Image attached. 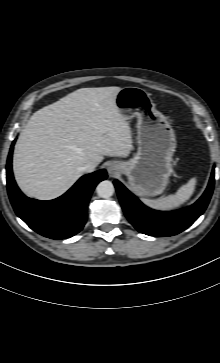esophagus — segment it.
Here are the masks:
<instances>
[{"label":"esophagus","instance_id":"esophagus-1","mask_svg":"<svg viewBox=\"0 0 220 363\" xmlns=\"http://www.w3.org/2000/svg\"><path fill=\"white\" fill-rule=\"evenodd\" d=\"M107 171H108L110 176H115L118 173L117 168L114 165H109L108 168H107Z\"/></svg>","mask_w":220,"mask_h":363}]
</instances>
